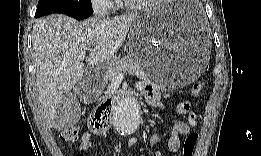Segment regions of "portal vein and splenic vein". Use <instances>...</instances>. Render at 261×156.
Here are the masks:
<instances>
[{
	"mask_svg": "<svg viewBox=\"0 0 261 156\" xmlns=\"http://www.w3.org/2000/svg\"><path fill=\"white\" fill-rule=\"evenodd\" d=\"M84 57H85V55H81L79 58H80L81 60H83ZM118 76H122V73H119Z\"/></svg>",
	"mask_w": 261,
	"mask_h": 156,
	"instance_id": "18ae733b",
	"label": "portal vein and splenic vein"
}]
</instances>
